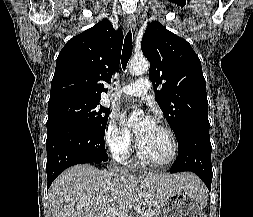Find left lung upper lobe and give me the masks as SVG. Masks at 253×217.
Segmentation results:
<instances>
[{
  "instance_id": "obj_1",
  "label": "left lung upper lobe",
  "mask_w": 253,
  "mask_h": 217,
  "mask_svg": "<svg viewBox=\"0 0 253 217\" xmlns=\"http://www.w3.org/2000/svg\"><path fill=\"white\" fill-rule=\"evenodd\" d=\"M141 49L150 61L156 101L176 138L189 128L209 130L206 82L191 45L154 21L143 35Z\"/></svg>"
}]
</instances>
